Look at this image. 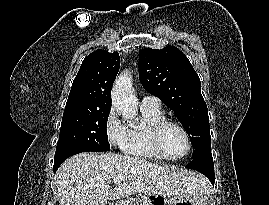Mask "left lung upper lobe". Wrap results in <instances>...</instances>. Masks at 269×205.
Listing matches in <instances>:
<instances>
[{
    "mask_svg": "<svg viewBox=\"0 0 269 205\" xmlns=\"http://www.w3.org/2000/svg\"><path fill=\"white\" fill-rule=\"evenodd\" d=\"M139 79L177 115L193 143V156L211 148L209 117L200 79L176 47L145 48L139 54Z\"/></svg>",
    "mask_w": 269,
    "mask_h": 205,
    "instance_id": "5c2ea615",
    "label": "left lung upper lobe"
}]
</instances>
